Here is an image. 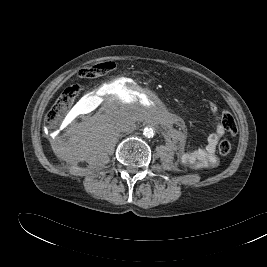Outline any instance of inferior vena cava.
I'll return each mask as SVG.
<instances>
[{"instance_id": "inferior-vena-cava-1", "label": "inferior vena cava", "mask_w": 267, "mask_h": 267, "mask_svg": "<svg viewBox=\"0 0 267 267\" xmlns=\"http://www.w3.org/2000/svg\"><path fill=\"white\" fill-rule=\"evenodd\" d=\"M116 128L119 132L131 133L135 130V124L129 119H122L117 123Z\"/></svg>"}]
</instances>
